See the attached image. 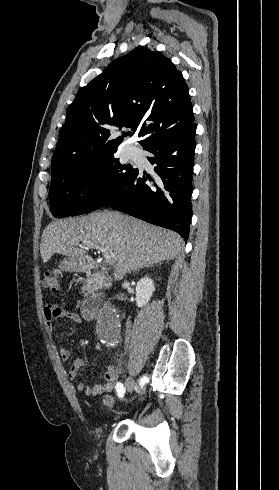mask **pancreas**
Instances as JSON below:
<instances>
[{"mask_svg":"<svg viewBox=\"0 0 279 490\" xmlns=\"http://www.w3.org/2000/svg\"><path fill=\"white\" fill-rule=\"evenodd\" d=\"M107 282V278L103 272H97V274H92V276H88L86 280L83 282V286L81 288L82 292L80 294H84V296H90V294H94L98 288H103Z\"/></svg>","mask_w":279,"mask_h":490,"instance_id":"1","label":"pancreas"}]
</instances>
